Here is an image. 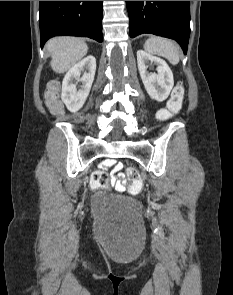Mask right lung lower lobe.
Listing matches in <instances>:
<instances>
[{
    "label": "right lung lower lobe",
    "mask_w": 233,
    "mask_h": 295,
    "mask_svg": "<svg viewBox=\"0 0 233 295\" xmlns=\"http://www.w3.org/2000/svg\"><path fill=\"white\" fill-rule=\"evenodd\" d=\"M103 1H40L41 47L58 35L85 36L102 42Z\"/></svg>",
    "instance_id": "obj_1"
}]
</instances>
